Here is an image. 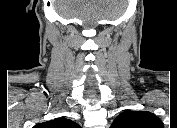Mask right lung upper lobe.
Here are the masks:
<instances>
[{"label":"right lung upper lobe","instance_id":"right-lung-upper-lobe-1","mask_svg":"<svg viewBox=\"0 0 177 128\" xmlns=\"http://www.w3.org/2000/svg\"><path fill=\"white\" fill-rule=\"evenodd\" d=\"M37 128H80V126L66 118H57L36 125Z\"/></svg>","mask_w":177,"mask_h":128}]
</instances>
